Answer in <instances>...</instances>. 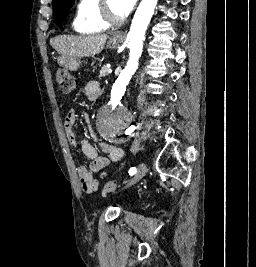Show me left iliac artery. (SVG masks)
<instances>
[{
  "label": "left iliac artery",
  "instance_id": "left-iliac-artery-1",
  "mask_svg": "<svg viewBox=\"0 0 256 267\" xmlns=\"http://www.w3.org/2000/svg\"><path fill=\"white\" fill-rule=\"evenodd\" d=\"M136 172H137V170H136L135 167H132V168H130V170H129V174H130L131 176L134 175Z\"/></svg>",
  "mask_w": 256,
  "mask_h": 267
}]
</instances>
